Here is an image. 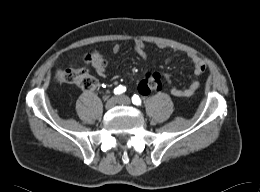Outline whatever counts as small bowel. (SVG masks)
I'll list each match as a JSON object with an SVG mask.
<instances>
[{"label": "small bowel", "mask_w": 260, "mask_h": 192, "mask_svg": "<svg viewBox=\"0 0 260 192\" xmlns=\"http://www.w3.org/2000/svg\"><path fill=\"white\" fill-rule=\"evenodd\" d=\"M120 49H121V47L119 44H113L111 47V51L115 54L118 53L120 51ZM134 50L142 59L146 60L148 58L147 52L145 50V43L143 41H141V40L135 41ZM189 57L193 64V75L199 76L206 70V63L200 57H198L196 55H190ZM99 58H101L100 55H99ZM92 66L98 75L105 76V74H106L105 65H102L99 61H95L92 63ZM162 76L166 80V82L170 85L171 94L173 96L179 97V98L193 96L197 92V90L200 88V85H201V83L199 81L195 80V81H192L188 86H186L184 88H179V87L172 85L170 76L168 74H163ZM138 88L142 94H145V95L149 94V85L146 81V78H144L139 83Z\"/></svg>", "instance_id": "small-bowel-1"}]
</instances>
